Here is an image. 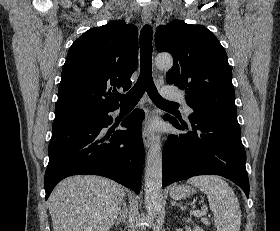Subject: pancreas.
<instances>
[{
    "mask_svg": "<svg viewBox=\"0 0 280 231\" xmlns=\"http://www.w3.org/2000/svg\"><path fill=\"white\" fill-rule=\"evenodd\" d=\"M200 221H203L205 225H210L208 217H201Z\"/></svg>",
    "mask_w": 280,
    "mask_h": 231,
    "instance_id": "1",
    "label": "pancreas"
}]
</instances>
